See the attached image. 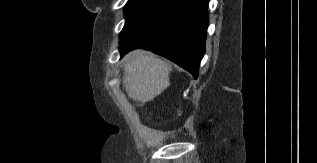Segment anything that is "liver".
Returning a JSON list of instances; mask_svg holds the SVG:
<instances>
[{"label":"liver","instance_id":"1","mask_svg":"<svg viewBox=\"0 0 317 163\" xmlns=\"http://www.w3.org/2000/svg\"><path fill=\"white\" fill-rule=\"evenodd\" d=\"M124 62L123 86L134 101H151L170 86L172 68L165 61L135 50L125 56Z\"/></svg>","mask_w":317,"mask_h":163}]
</instances>
